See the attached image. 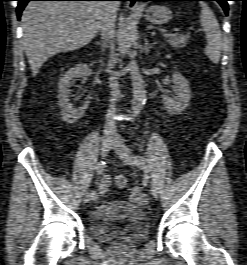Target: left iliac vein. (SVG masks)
<instances>
[{"instance_id":"1","label":"left iliac vein","mask_w":247,"mask_h":265,"mask_svg":"<svg viewBox=\"0 0 247 265\" xmlns=\"http://www.w3.org/2000/svg\"><path fill=\"white\" fill-rule=\"evenodd\" d=\"M114 150L118 154V156L127 164L130 165H137L133 160H132V154L131 151L128 147L125 145L121 144L119 141H115L114 143ZM151 192L154 198H158V189L155 186V184H151Z\"/></svg>"}]
</instances>
